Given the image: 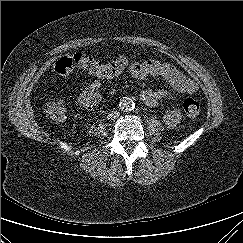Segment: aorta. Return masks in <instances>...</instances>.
Wrapping results in <instances>:
<instances>
[{"label":"aorta","mask_w":243,"mask_h":243,"mask_svg":"<svg viewBox=\"0 0 243 243\" xmlns=\"http://www.w3.org/2000/svg\"><path fill=\"white\" fill-rule=\"evenodd\" d=\"M119 107L124 112H131L135 108L134 101L129 97H123L120 100Z\"/></svg>","instance_id":"aorta-1"}]
</instances>
